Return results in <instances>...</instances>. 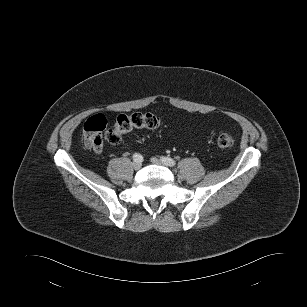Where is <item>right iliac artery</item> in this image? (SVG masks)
I'll list each match as a JSON object with an SVG mask.
<instances>
[{"label":"right iliac artery","instance_id":"right-iliac-artery-1","mask_svg":"<svg viewBox=\"0 0 307 307\" xmlns=\"http://www.w3.org/2000/svg\"><path fill=\"white\" fill-rule=\"evenodd\" d=\"M142 159H143V157L140 155V154H138V153H135L134 155H133V160L134 161H142Z\"/></svg>","mask_w":307,"mask_h":307}]
</instances>
